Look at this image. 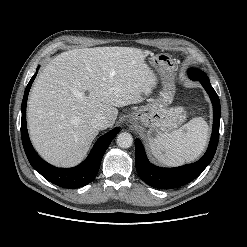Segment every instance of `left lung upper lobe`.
I'll return each mask as SVG.
<instances>
[{"label": "left lung upper lobe", "mask_w": 247, "mask_h": 247, "mask_svg": "<svg viewBox=\"0 0 247 247\" xmlns=\"http://www.w3.org/2000/svg\"><path fill=\"white\" fill-rule=\"evenodd\" d=\"M189 71H194L198 74H201V75H204V76H207L203 71L199 70V69H196V68H190Z\"/></svg>", "instance_id": "1"}]
</instances>
